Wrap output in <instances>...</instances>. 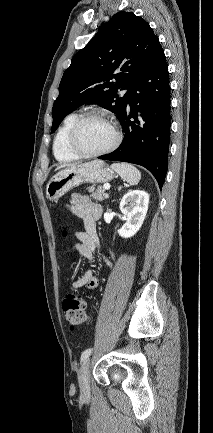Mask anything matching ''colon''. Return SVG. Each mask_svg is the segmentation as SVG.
<instances>
[{
	"label": "colon",
	"mask_w": 213,
	"mask_h": 433,
	"mask_svg": "<svg viewBox=\"0 0 213 433\" xmlns=\"http://www.w3.org/2000/svg\"><path fill=\"white\" fill-rule=\"evenodd\" d=\"M62 235L66 237L67 232L64 230ZM62 308L70 329L78 328L86 322V304L81 295L68 293L63 300Z\"/></svg>",
	"instance_id": "5ec220e1"
}]
</instances>
